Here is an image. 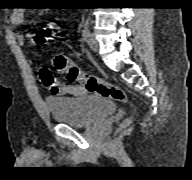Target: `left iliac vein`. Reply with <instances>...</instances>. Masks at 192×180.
<instances>
[{
	"mask_svg": "<svg viewBox=\"0 0 192 180\" xmlns=\"http://www.w3.org/2000/svg\"><path fill=\"white\" fill-rule=\"evenodd\" d=\"M87 43L89 45V47L94 51L97 52L99 51V42L97 41V39L95 38L94 34H90L88 39H87Z\"/></svg>",
	"mask_w": 192,
	"mask_h": 180,
	"instance_id": "1",
	"label": "left iliac vein"
}]
</instances>
